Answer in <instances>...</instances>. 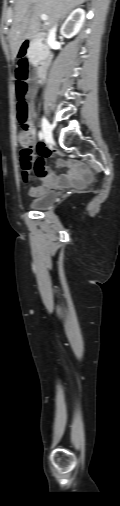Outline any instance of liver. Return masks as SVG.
<instances>
[{
    "instance_id": "6515ba94",
    "label": "liver",
    "mask_w": 120,
    "mask_h": 506,
    "mask_svg": "<svg viewBox=\"0 0 120 506\" xmlns=\"http://www.w3.org/2000/svg\"><path fill=\"white\" fill-rule=\"evenodd\" d=\"M86 0H16L9 42L13 57H16L25 39L41 30H48L58 19H62L74 7ZM41 15L48 19L41 24Z\"/></svg>"
}]
</instances>
